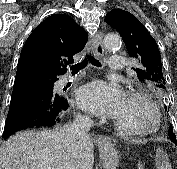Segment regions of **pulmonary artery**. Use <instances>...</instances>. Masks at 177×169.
<instances>
[{"mask_svg":"<svg viewBox=\"0 0 177 169\" xmlns=\"http://www.w3.org/2000/svg\"><path fill=\"white\" fill-rule=\"evenodd\" d=\"M124 67V60L122 57L119 56H111L108 59V69L111 72H119L122 71ZM75 78L65 77L61 80V83H67Z\"/></svg>","mask_w":177,"mask_h":169,"instance_id":"pulmonary-artery-1","label":"pulmonary artery"}]
</instances>
